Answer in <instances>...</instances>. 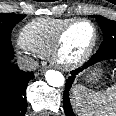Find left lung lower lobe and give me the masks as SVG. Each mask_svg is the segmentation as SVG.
I'll return each mask as SVG.
<instances>
[{"label": "left lung lower lobe", "instance_id": "obj_1", "mask_svg": "<svg viewBox=\"0 0 116 116\" xmlns=\"http://www.w3.org/2000/svg\"><path fill=\"white\" fill-rule=\"evenodd\" d=\"M116 59V50L110 51L108 53H96L94 54L90 60L80 69H76L71 71V76L68 77L65 83V90L63 94V106L66 116H75L72 106L70 104L69 93L74 82L76 75L84 69L95 65L96 63L105 61V60H114Z\"/></svg>", "mask_w": 116, "mask_h": 116}]
</instances>
